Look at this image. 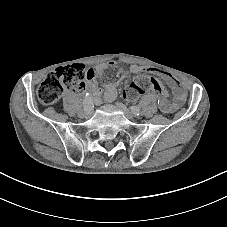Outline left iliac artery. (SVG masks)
<instances>
[{
	"label": "left iliac artery",
	"mask_w": 227,
	"mask_h": 227,
	"mask_svg": "<svg viewBox=\"0 0 227 227\" xmlns=\"http://www.w3.org/2000/svg\"><path fill=\"white\" fill-rule=\"evenodd\" d=\"M135 107V108H134ZM132 107V111H134L135 115H139L140 113V108L138 106Z\"/></svg>",
	"instance_id": "1"
}]
</instances>
